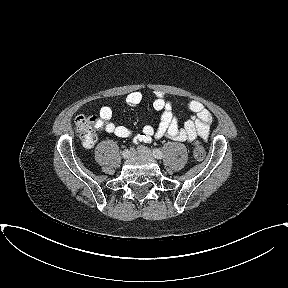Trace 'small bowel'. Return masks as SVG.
Instances as JSON below:
<instances>
[{
  "mask_svg": "<svg viewBox=\"0 0 288 288\" xmlns=\"http://www.w3.org/2000/svg\"><path fill=\"white\" fill-rule=\"evenodd\" d=\"M143 95L140 91H133L126 95L125 102L135 107L142 103ZM152 106L157 111H162L160 122L157 128L145 126L142 131L134 137V142H150L152 138L167 137L174 141L192 143L197 137L207 139L210 133L212 115L209 110L199 101L189 100L187 108L194 116L179 127L178 119L170 100H166L161 93L155 95ZM113 111L110 107L104 106L99 111V118L96 121V128L99 131L115 135L120 138H128L132 135L131 130L123 125L112 122Z\"/></svg>",
  "mask_w": 288,
  "mask_h": 288,
  "instance_id": "1",
  "label": "small bowel"
}]
</instances>
